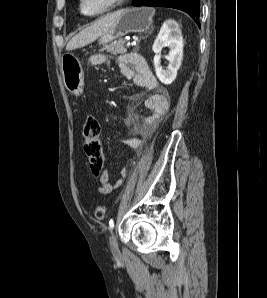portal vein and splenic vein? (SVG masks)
I'll use <instances>...</instances> for the list:
<instances>
[{
    "mask_svg": "<svg viewBox=\"0 0 267 298\" xmlns=\"http://www.w3.org/2000/svg\"><path fill=\"white\" fill-rule=\"evenodd\" d=\"M126 46L127 47L131 46V42H127Z\"/></svg>",
    "mask_w": 267,
    "mask_h": 298,
    "instance_id": "18ae733b",
    "label": "portal vein and splenic vein"
}]
</instances>
